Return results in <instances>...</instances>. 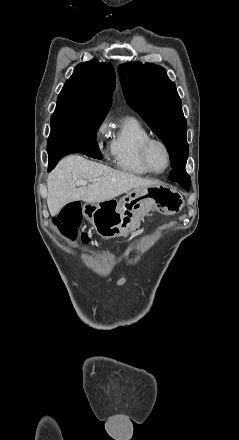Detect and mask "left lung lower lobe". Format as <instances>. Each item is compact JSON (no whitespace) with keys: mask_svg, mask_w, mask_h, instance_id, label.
<instances>
[{"mask_svg":"<svg viewBox=\"0 0 239 440\" xmlns=\"http://www.w3.org/2000/svg\"><path fill=\"white\" fill-rule=\"evenodd\" d=\"M170 179L178 182L180 185L183 186L184 189L189 190L190 187V176L187 174L185 167H179L173 169Z\"/></svg>","mask_w":239,"mask_h":440,"instance_id":"0a47b994","label":"left lung lower lobe"}]
</instances>
